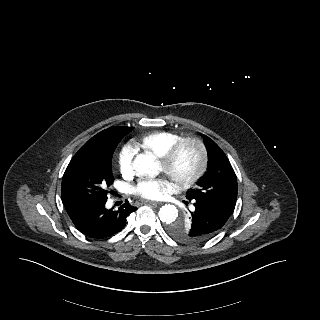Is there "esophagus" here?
<instances>
[{"instance_id": "obj_1", "label": "esophagus", "mask_w": 320, "mask_h": 320, "mask_svg": "<svg viewBox=\"0 0 320 320\" xmlns=\"http://www.w3.org/2000/svg\"><path fill=\"white\" fill-rule=\"evenodd\" d=\"M146 203L152 204L155 206L160 205V203H158V202H153V201H149V200H140V201L136 202L137 205H142V204H146Z\"/></svg>"}]
</instances>
